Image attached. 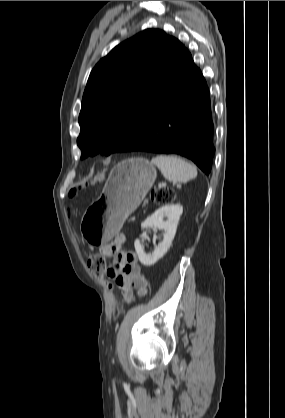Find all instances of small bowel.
<instances>
[{
	"mask_svg": "<svg viewBox=\"0 0 285 418\" xmlns=\"http://www.w3.org/2000/svg\"><path fill=\"white\" fill-rule=\"evenodd\" d=\"M123 236L117 235L109 244L101 247V252L107 257L117 255V265H109L107 275L113 278L116 286L122 291L124 298L129 299L133 291L145 295L148 282L137 264V255L134 252H119Z\"/></svg>",
	"mask_w": 285,
	"mask_h": 418,
	"instance_id": "1",
	"label": "small bowel"
}]
</instances>
